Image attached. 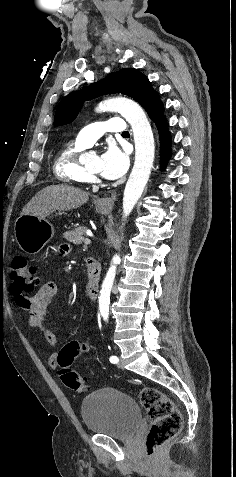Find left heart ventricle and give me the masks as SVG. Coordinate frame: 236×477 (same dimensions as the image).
Listing matches in <instances>:
<instances>
[{
	"label": "left heart ventricle",
	"mask_w": 236,
	"mask_h": 477,
	"mask_svg": "<svg viewBox=\"0 0 236 477\" xmlns=\"http://www.w3.org/2000/svg\"><path fill=\"white\" fill-rule=\"evenodd\" d=\"M88 167L97 172V173H100V157L99 156H94L92 157V159L90 160L89 164H88Z\"/></svg>",
	"instance_id": "1"
}]
</instances>
